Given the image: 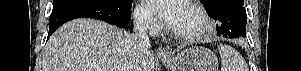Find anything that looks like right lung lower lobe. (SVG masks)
<instances>
[{"mask_svg":"<svg viewBox=\"0 0 301 71\" xmlns=\"http://www.w3.org/2000/svg\"><path fill=\"white\" fill-rule=\"evenodd\" d=\"M131 6L132 0L124 2L69 0L53 5L47 38L62 24L81 17L95 18L125 28L131 20Z\"/></svg>","mask_w":301,"mask_h":71,"instance_id":"right-lung-lower-lobe-1","label":"right lung lower lobe"}]
</instances>
